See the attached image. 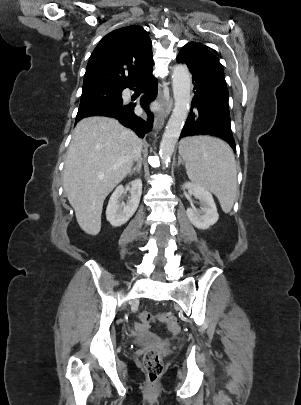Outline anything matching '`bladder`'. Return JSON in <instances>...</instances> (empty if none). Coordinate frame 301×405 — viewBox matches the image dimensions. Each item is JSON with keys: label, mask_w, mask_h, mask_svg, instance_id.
Segmentation results:
<instances>
[{"label": "bladder", "mask_w": 301, "mask_h": 405, "mask_svg": "<svg viewBox=\"0 0 301 405\" xmlns=\"http://www.w3.org/2000/svg\"><path fill=\"white\" fill-rule=\"evenodd\" d=\"M151 341V339H149V338H145V337H137L136 339H135V343L136 344H145V343H147V342H150Z\"/></svg>", "instance_id": "bladder-1"}]
</instances>
